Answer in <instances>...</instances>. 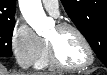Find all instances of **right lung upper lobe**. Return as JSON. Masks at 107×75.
Masks as SVG:
<instances>
[{
    "instance_id": "1",
    "label": "right lung upper lobe",
    "mask_w": 107,
    "mask_h": 75,
    "mask_svg": "<svg viewBox=\"0 0 107 75\" xmlns=\"http://www.w3.org/2000/svg\"><path fill=\"white\" fill-rule=\"evenodd\" d=\"M16 0H0V22L15 20Z\"/></svg>"
}]
</instances>
